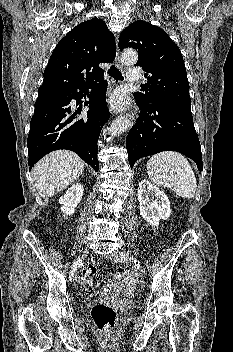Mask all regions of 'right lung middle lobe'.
Returning <instances> with one entry per match:
<instances>
[{
	"mask_svg": "<svg viewBox=\"0 0 233 352\" xmlns=\"http://www.w3.org/2000/svg\"><path fill=\"white\" fill-rule=\"evenodd\" d=\"M70 93V90L61 87H46L39 88L38 99L39 98H49V97H60L66 96Z\"/></svg>",
	"mask_w": 233,
	"mask_h": 352,
	"instance_id": "obj_1",
	"label": "right lung middle lobe"
}]
</instances>
